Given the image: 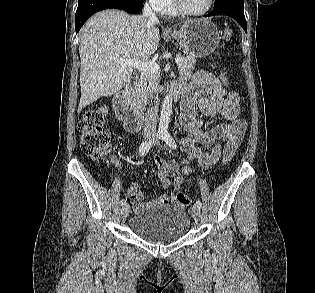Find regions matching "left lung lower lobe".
I'll return each instance as SVG.
<instances>
[{"label":"left lung lower lobe","mask_w":315,"mask_h":293,"mask_svg":"<svg viewBox=\"0 0 315 293\" xmlns=\"http://www.w3.org/2000/svg\"><path fill=\"white\" fill-rule=\"evenodd\" d=\"M213 15H227L232 18H234L245 30H247V23L244 16V8L239 7H224L220 8L218 10H213L209 14H207L205 17L213 16Z\"/></svg>","instance_id":"obj_1"}]
</instances>
